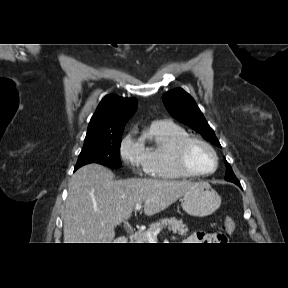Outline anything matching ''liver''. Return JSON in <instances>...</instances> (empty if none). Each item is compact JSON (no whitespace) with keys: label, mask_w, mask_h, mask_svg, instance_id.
Listing matches in <instances>:
<instances>
[{"label":"liver","mask_w":288,"mask_h":288,"mask_svg":"<svg viewBox=\"0 0 288 288\" xmlns=\"http://www.w3.org/2000/svg\"><path fill=\"white\" fill-rule=\"evenodd\" d=\"M190 181L160 179L114 180L99 164L78 169L68 184L64 243H112L114 228L143 203L147 216L163 211L195 187Z\"/></svg>","instance_id":"liver-1"}]
</instances>
